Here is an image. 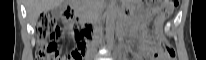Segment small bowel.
I'll return each mask as SVG.
<instances>
[{"label":"small bowel","mask_w":206,"mask_h":60,"mask_svg":"<svg viewBox=\"0 0 206 60\" xmlns=\"http://www.w3.org/2000/svg\"><path fill=\"white\" fill-rule=\"evenodd\" d=\"M161 23H162V19L159 18V19L157 20V24L159 25V24H161ZM137 59H140V58L138 57Z\"/></svg>","instance_id":"small-bowel-1"}]
</instances>
